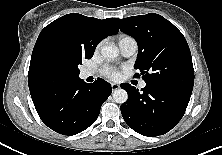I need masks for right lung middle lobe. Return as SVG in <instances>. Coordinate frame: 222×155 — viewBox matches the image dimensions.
Returning <instances> with one entry per match:
<instances>
[{
    "label": "right lung middle lobe",
    "instance_id": "right-lung-middle-lobe-1",
    "mask_svg": "<svg viewBox=\"0 0 222 155\" xmlns=\"http://www.w3.org/2000/svg\"><path fill=\"white\" fill-rule=\"evenodd\" d=\"M93 51L86 50L69 32H57L51 35L44 44L43 56L48 67L59 78L78 77L82 59H90Z\"/></svg>",
    "mask_w": 222,
    "mask_h": 155
}]
</instances>
